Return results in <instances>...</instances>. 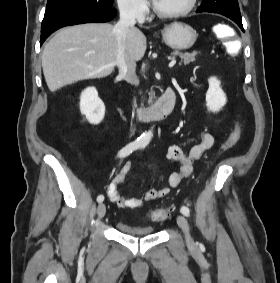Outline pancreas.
<instances>
[{
  "mask_svg": "<svg viewBox=\"0 0 280 283\" xmlns=\"http://www.w3.org/2000/svg\"><path fill=\"white\" fill-rule=\"evenodd\" d=\"M198 53L199 52H197V51H193L192 53H188V52L182 53V52L176 50V51L172 52L171 55L173 57L179 56L181 58L182 62L185 65H187V64L195 61V58H196ZM148 94H149V101L148 102H149V104H151L153 99L156 98L155 93H154L153 90H151Z\"/></svg>",
  "mask_w": 280,
  "mask_h": 283,
  "instance_id": "obj_1",
  "label": "pancreas"
}]
</instances>
